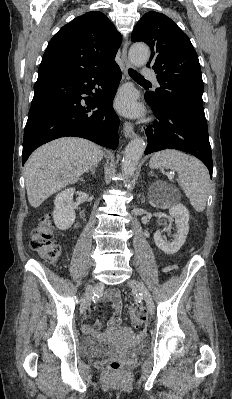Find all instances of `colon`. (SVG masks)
<instances>
[{
  "label": "colon",
  "instance_id": "5ec220e1",
  "mask_svg": "<svg viewBox=\"0 0 232 399\" xmlns=\"http://www.w3.org/2000/svg\"><path fill=\"white\" fill-rule=\"evenodd\" d=\"M27 247L34 253H38L48 261H55L59 257L60 248L58 244H53L51 220L47 216H42L38 224L29 234ZM132 324H147L146 308H131ZM122 347L128 346L127 340L121 341ZM112 374H121L122 362L118 355L112 356Z\"/></svg>",
  "mask_w": 232,
  "mask_h": 399
}]
</instances>
